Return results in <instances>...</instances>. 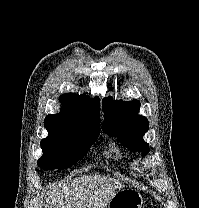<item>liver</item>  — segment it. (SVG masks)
Masks as SVG:
<instances>
[{
	"label": "liver",
	"mask_w": 199,
	"mask_h": 208,
	"mask_svg": "<svg viewBox=\"0 0 199 208\" xmlns=\"http://www.w3.org/2000/svg\"><path fill=\"white\" fill-rule=\"evenodd\" d=\"M124 185L98 173L57 183L46 193L45 208H105Z\"/></svg>",
	"instance_id": "6515ba94"
}]
</instances>
